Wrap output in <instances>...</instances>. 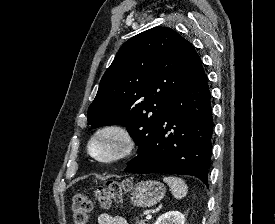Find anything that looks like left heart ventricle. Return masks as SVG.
Here are the masks:
<instances>
[{"instance_id":"b2bd125f","label":"left heart ventricle","mask_w":275,"mask_h":224,"mask_svg":"<svg viewBox=\"0 0 275 224\" xmlns=\"http://www.w3.org/2000/svg\"><path fill=\"white\" fill-rule=\"evenodd\" d=\"M119 146V141L113 135H105L99 138L92 146V150L100 157L113 155Z\"/></svg>"}]
</instances>
